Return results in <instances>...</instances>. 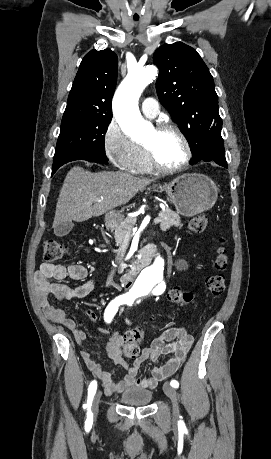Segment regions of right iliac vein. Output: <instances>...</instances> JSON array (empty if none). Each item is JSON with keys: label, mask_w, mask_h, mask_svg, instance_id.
<instances>
[{"label": "right iliac vein", "mask_w": 271, "mask_h": 459, "mask_svg": "<svg viewBox=\"0 0 271 459\" xmlns=\"http://www.w3.org/2000/svg\"><path fill=\"white\" fill-rule=\"evenodd\" d=\"M100 398H101V392H98L95 395L94 400L92 402L91 413L94 417H96L98 414V406H99Z\"/></svg>", "instance_id": "obj_1"}]
</instances>
